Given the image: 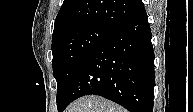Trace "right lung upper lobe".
<instances>
[{
    "label": "right lung upper lobe",
    "mask_w": 193,
    "mask_h": 112,
    "mask_svg": "<svg viewBox=\"0 0 193 112\" xmlns=\"http://www.w3.org/2000/svg\"><path fill=\"white\" fill-rule=\"evenodd\" d=\"M145 10L142 0H64L55 19L53 36L80 24L114 30Z\"/></svg>",
    "instance_id": "1"
}]
</instances>
